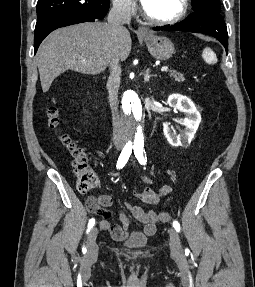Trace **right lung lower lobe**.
I'll list each match as a JSON object with an SVG mask.
<instances>
[{
	"label": "right lung lower lobe",
	"mask_w": 255,
	"mask_h": 287,
	"mask_svg": "<svg viewBox=\"0 0 255 287\" xmlns=\"http://www.w3.org/2000/svg\"><path fill=\"white\" fill-rule=\"evenodd\" d=\"M96 18L82 12H69L55 15L38 21L34 31V51L36 53L40 43L53 30L81 22H94Z\"/></svg>",
	"instance_id": "98d812e1"
}]
</instances>
